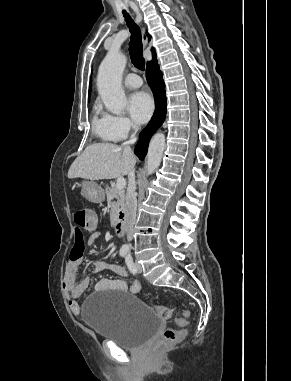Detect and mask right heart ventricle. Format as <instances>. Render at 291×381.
Listing matches in <instances>:
<instances>
[{"label": "right heart ventricle", "mask_w": 291, "mask_h": 381, "mask_svg": "<svg viewBox=\"0 0 291 381\" xmlns=\"http://www.w3.org/2000/svg\"><path fill=\"white\" fill-rule=\"evenodd\" d=\"M93 132L103 141L114 142L118 139L109 130L105 117L101 115L99 106H95L92 121Z\"/></svg>", "instance_id": "obj_1"}]
</instances>
